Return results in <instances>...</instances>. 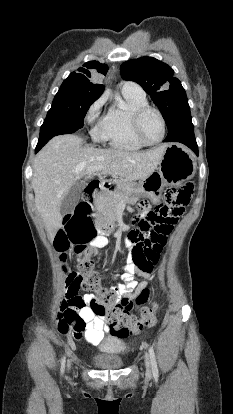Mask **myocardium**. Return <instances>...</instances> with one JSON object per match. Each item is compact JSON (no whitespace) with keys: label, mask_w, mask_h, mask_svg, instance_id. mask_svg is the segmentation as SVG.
<instances>
[{"label":"myocardium","mask_w":233,"mask_h":414,"mask_svg":"<svg viewBox=\"0 0 233 414\" xmlns=\"http://www.w3.org/2000/svg\"><path fill=\"white\" fill-rule=\"evenodd\" d=\"M148 112H155L159 116V118L161 119L162 135L157 141H149L144 136V134L142 132V129H141L142 119ZM132 128H133V131H134L135 135L137 136V138L141 142H143L146 145H156V144H159L160 142H162V140L165 138L166 131H167V123H166L165 116L163 115V113L158 108L150 106V105H146V106H143V107L139 108L138 110H136L133 113V115H132Z\"/></svg>","instance_id":"1"}]
</instances>
